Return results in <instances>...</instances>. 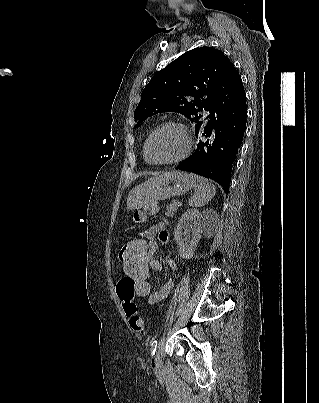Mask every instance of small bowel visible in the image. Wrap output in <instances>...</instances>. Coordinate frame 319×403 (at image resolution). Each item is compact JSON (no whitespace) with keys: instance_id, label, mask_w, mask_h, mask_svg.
Masks as SVG:
<instances>
[{"instance_id":"c3829d8e","label":"small bowel","mask_w":319,"mask_h":403,"mask_svg":"<svg viewBox=\"0 0 319 403\" xmlns=\"http://www.w3.org/2000/svg\"><path fill=\"white\" fill-rule=\"evenodd\" d=\"M152 211L156 212L158 210V206L156 203H151ZM129 229V228H128ZM140 238H144L145 242L148 243V250L150 256V269L160 272L162 271V264L159 260H157L154 255L158 249L159 244H167L169 242V233L165 229L162 223H157L150 228H148L145 232H143ZM120 261L121 258L119 257ZM167 263L173 270H178V265L176 262L167 258ZM174 281L171 278L166 279L163 285L157 290H151V296H141L142 298H146L147 303L149 305H156L159 302L166 299L174 289ZM131 290L133 291V296L135 297V284H131ZM130 330V329H129Z\"/></svg>"}]
</instances>
